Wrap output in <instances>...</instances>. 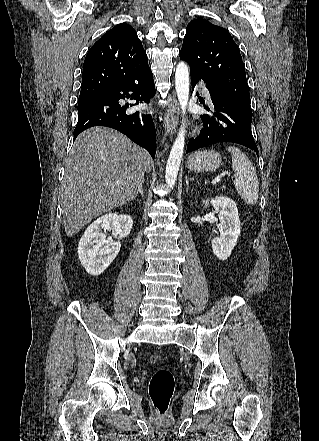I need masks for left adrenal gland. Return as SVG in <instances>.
<instances>
[{"label": "left adrenal gland", "mask_w": 319, "mask_h": 441, "mask_svg": "<svg viewBox=\"0 0 319 441\" xmlns=\"http://www.w3.org/2000/svg\"><path fill=\"white\" fill-rule=\"evenodd\" d=\"M186 179V192L189 191V181H193V178H188L187 176H185Z\"/></svg>", "instance_id": "left-adrenal-gland-1"}]
</instances>
